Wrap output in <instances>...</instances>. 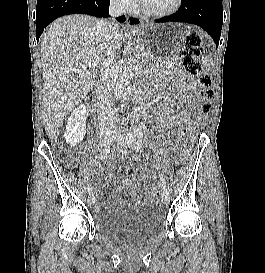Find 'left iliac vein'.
Instances as JSON below:
<instances>
[{"label": "left iliac vein", "instance_id": "obj_1", "mask_svg": "<svg viewBox=\"0 0 265 273\" xmlns=\"http://www.w3.org/2000/svg\"><path fill=\"white\" fill-rule=\"evenodd\" d=\"M115 142L119 145H122V146L127 145L129 148H131L135 151H140L141 146H142L141 139L130 132H127L126 135L116 134L115 135ZM169 201H170L169 192L166 188H164L162 190V202L165 205H167L169 203Z\"/></svg>", "mask_w": 265, "mask_h": 273}]
</instances>
